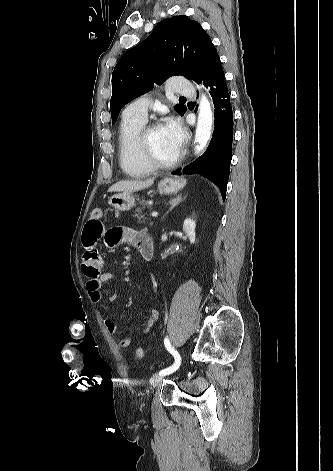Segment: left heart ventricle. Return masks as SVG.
I'll use <instances>...</instances> for the list:
<instances>
[{
  "mask_svg": "<svg viewBox=\"0 0 333 471\" xmlns=\"http://www.w3.org/2000/svg\"><path fill=\"white\" fill-rule=\"evenodd\" d=\"M146 141L153 155L161 161H170L178 153L168 142L162 127L149 131Z\"/></svg>",
  "mask_w": 333,
  "mask_h": 471,
  "instance_id": "obj_1",
  "label": "left heart ventricle"
}]
</instances>
